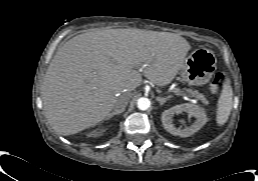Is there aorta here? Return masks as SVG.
Segmentation results:
<instances>
[{"label": "aorta", "mask_w": 258, "mask_h": 181, "mask_svg": "<svg viewBox=\"0 0 258 181\" xmlns=\"http://www.w3.org/2000/svg\"><path fill=\"white\" fill-rule=\"evenodd\" d=\"M150 100L146 97H141L137 101V106L140 110H147L150 107Z\"/></svg>", "instance_id": "1"}]
</instances>
